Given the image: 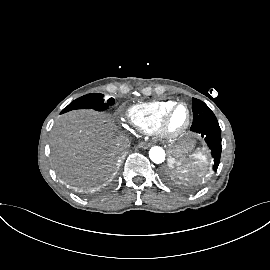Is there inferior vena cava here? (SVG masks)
Segmentation results:
<instances>
[{
  "instance_id": "obj_1",
  "label": "inferior vena cava",
  "mask_w": 270,
  "mask_h": 270,
  "mask_svg": "<svg viewBox=\"0 0 270 270\" xmlns=\"http://www.w3.org/2000/svg\"><path fill=\"white\" fill-rule=\"evenodd\" d=\"M115 153H124L130 147V142L125 137H118L111 145Z\"/></svg>"
}]
</instances>
